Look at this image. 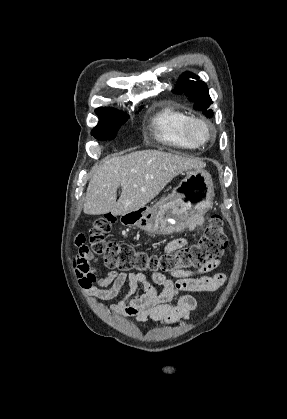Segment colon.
I'll list each match as a JSON object with an SVG mask.
<instances>
[{"label":"colon","mask_w":287,"mask_h":419,"mask_svg":"<svg viewBox=\"0 0 287 419\" xmlns=\"http://www.w3.org/2000/svg\"><path fill=\"white\" fill-rule=\"evenodd\" d=\"M115 220L111 213L97 218L87 239L92 255L102 257L109 268L122 271L159 273L200 269L219 258L228 245L222 219L217 214L211 216L203 235L195 243L163 255L136 249L128 244L107 241L105 234L110 231ZM85 239L83 235L78 237L79 242Z\"/></svg>","instance_id":"5ec220e1"}]
</instances>
